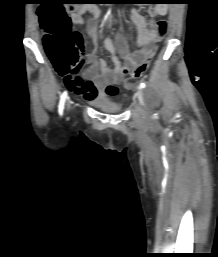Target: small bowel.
<instances>
[{"instance_id": "c3829d8e", "label": "small bowel", "mask_w": 218, "mask_h": 257, "mask_svg": "<svg viewBox=\"0 0 218 257\" xmlns=\"http://www.w3.org/2000/svg\"><path fill=\"white\" fill-rule=\"evenodd\" d=\"M167 11L168 8L164 4L157 5L153 9V13L156 15H166ZM86 13L92 15V18L86 23V30L93 39V48L88 56L86 69L82 74L74 76L71 80L65 79V83L74 94L91 101L99 97H105L103 93L105 83L122 82L124 76L143 63L154 52L156 42L163 37L167 24L165 21L149 23L136 10H129L127 17L138 31V48L134 52H130L126 39L121 32L116 34L115 42L106 37L104 46L114 65L113 68H109L105 60L98 59L96 56L97 36L100 31L98 8L95 5H82L70 13L71 21L78 25L84 24V14ZM116 49L120 52L122 61L116 55Z\"/></svg>"}]
</instances>
